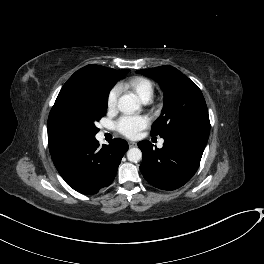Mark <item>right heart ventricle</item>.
<instances>
[{"instance_id": "right-heart-ventricle-1", "label": "right heart ventricle", "mask_w": 264, "mask_h": 264, "mask_svg": "<svg viewBox=\"0 0 264 264\" xmlns=\"http://www.w3.org/2000/svg\"><path fill=\"white\" fill-rule=\"evenodd\" d=\"M123 88L134 92L141 101H149L154 94L153 82L142 76H135L121 84Z\"/></svg>"}]
</instances>
